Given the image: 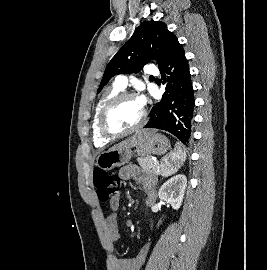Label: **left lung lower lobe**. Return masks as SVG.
Listing matches in <instances>:
<instances>
[{
    "label": "left lung lower lobe",
    "instance_id": "obj_1",
    "mask_svg": "<svg viewBox=\"0 0 267 270\" xmlns=\"http://www.w3.org/2000/svg\"><path fill=\"white\" fill-rule=\"evenodd\" d=\"M159 69L166 91L162 100L151 109L150 120L144 128L166 130L181 142L182 147L188 146L192 133L194 95L188 61L179 42Z\"/></svg>",
    "mask_w": 267,
    "mask_h": 270
}]
</instances>
